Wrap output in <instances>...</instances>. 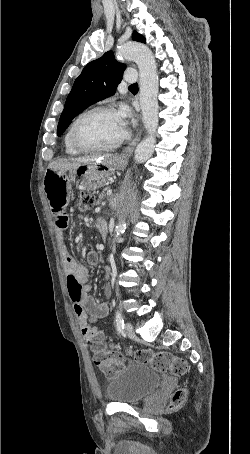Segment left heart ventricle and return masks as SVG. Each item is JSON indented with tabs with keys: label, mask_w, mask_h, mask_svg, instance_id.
<instances>
[{
	"label": "left heart ventricle",
	"mask_w": 250,
	"mask_h": 454,
	"mask_svg": "<svg viewBox=\"0 0 250 454\" xmlns=\"http://www.w3.org/2000/svg\"><path fill=\"white\" fill-rule=\"evenodd\" d=\"M125 132L116 112H96L78 126L77 139L86 146H105L119 139Z\"/></svg>",
	"instance_id": "left-heart-ventricle-1"
}]
</instances>
